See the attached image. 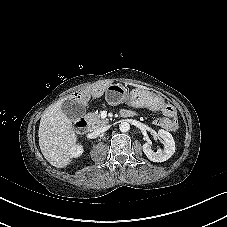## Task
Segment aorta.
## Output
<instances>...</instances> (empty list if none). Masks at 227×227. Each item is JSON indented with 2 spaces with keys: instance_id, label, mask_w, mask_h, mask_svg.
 I'll use <instances>...</instances> for the list:
<instances>
[{
  "instance_id": "1",
  "label": "aorta",
  "mask_w": 227,
  "mask_h": 227,
  "mask_svg": "<svg viewBox=\"0 0 227 227\" xmlns=\"http://www.w3.org/2000/svg\"><path fill=\"white\" fill-rule=\"evenodd\" d=\"M119 129L121 132H128L130 130V124L128 122H121Z\"/></svg>"
}]
</instances>
